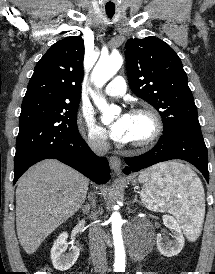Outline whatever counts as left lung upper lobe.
Wrapping results in <instances>:
<instances>
[{"instance_id": "1", "label": "left lung upper lobe", "mask_w": 215, "mask_h": 274, "mask_svg": "<svg viewBox=\"0 0 215 274\" xmlns=\"http://www.w3.org/2000/svg\"><path fill=\"white\" fill-rule=\"evenodd\" d=\"M125 48L130 88L159 111L163 134L173 131L202 134L187 75L176 52L152 36L129 39Z\"/></svg>"}]
</instances>
